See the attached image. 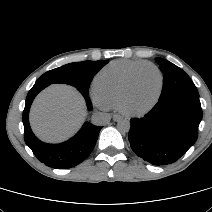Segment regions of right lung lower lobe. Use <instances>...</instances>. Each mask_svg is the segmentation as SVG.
<instances>
[{"label": "right lung lower lobe", "instance_id": "right-lung-lower-lobe-1", "mask_svg": "<svg viewBox=\"0 0 212 212\" xmlns=\"http://www.w3.org/2000/svg\"><path fill=\"white\" fill-rule=\"evenodd\" d=\"M48 85L35 83L29 91L25 108L23 111L24 140L31 148L34 155L46 166L56 169L72 168L84 161L94 148L101 126H95L86 122L81 130L70 140L61 144H46L35 137L31 131L28 115L29 109L35 96ZM82 93V92H81ZM88 110H92V105L88 94L82 93Z\"/></svg>", "mask_w": 212, "mask_h": 212}]
</instances>
